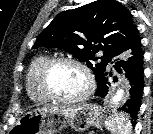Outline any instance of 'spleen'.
Returning a JSON list of instances; mask_svg holds the SVG:
<instances>
[{"label":"spleen","instance_id":"3e777b00","mask_svg":"<svg viewBox=\"0 0 153 134\" xmlns=\"http://www.w3.org/2000/svg\"><path fill=\"white\" fill-rule=\"evenodd\" d=\"M107 129L112 134H131L132 127L126 113H114L107 124Z\"/></svg>","mask_w":153,"mask_h":134}]
</instances>
